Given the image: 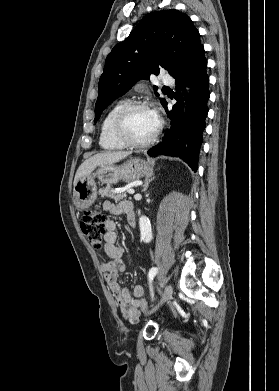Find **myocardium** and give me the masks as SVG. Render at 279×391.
<instances>
[{"label": "myocardium", "mask_w": 279, "mask_h": 391, "mask_svg": "<svg viewBox=\"0 0 279 391\" xmlns=\"http://www.w3.org/2000/svg\"><path fill=\"white\" fill-rule=\"evenodd\" d=\"M137 108H148L152 110L150 104L146 101L142 100H134V101H129L126 102L117 112L114 122H113V131L115 137L122 142L124 145L127 147H132V148H143L151 145L154 143L160 134V131L162 129V121L161 119L157 116V127L154 131V133L146 140L143 141H136L132 139L128 134L126 130V119L129 115V113ZM153 111V110H152Z\"/></svg>", "instance_id": "obj_1"}]
</instances>
